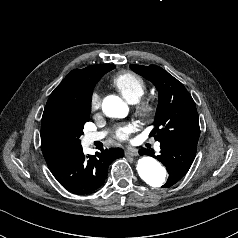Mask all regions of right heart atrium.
I'll return each instance as SVG.
<instances>
[{"mask_svg": "<svg viewBox=\"0 0 238 238\" xmlns=\"http://www.w3.org/2000/svg\"><path fill=\"white\" fill-rule=\"evenodd\" d=\"M99 106H100V97L96 92H94V93H92V95L90 97V107L92 110H95Z\"/></svg>", "mask_w": 238, "mask_h": 238, "instance_id": "obj_1", "label": "right heart atrium"}]
</instances>
